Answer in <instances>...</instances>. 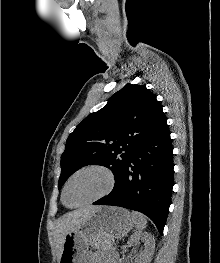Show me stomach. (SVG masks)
I'll use <instances>...</instances> for the list:
<instances>
[{"label": "stomach", "instance_id": "1", "mask_svg": "<svg viewBox=\"0 0 220 263\" xmlns=\"http://www.w3.org/2000/svg\"><path fill=\"white\" fill-rule=\"evenodd\" d=\"M133 226L134 220L128 210L103 206L65 235L59 263H82L89 245L110 249L113 240L127 235Z\"/></svg>", "mask_w": 220, "mask_h": 263}]
</instances>
